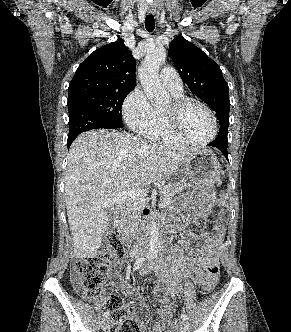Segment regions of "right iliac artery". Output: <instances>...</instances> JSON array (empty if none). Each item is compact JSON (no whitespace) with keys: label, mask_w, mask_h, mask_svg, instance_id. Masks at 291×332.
<instances>
[{"label":"right iliac artery","mask_w":291,"mask_h":332,"mask_svg":"<svg viewBox=\"0 0 291 332\" xmlns=\"http://www.w3.org/2000/svg\"><path fill=\"white\" fill-rule=\"evenodd\" d=\"M148 258H149V257H148ZM143 262H144V257H139V258L136 260L135 264H134V270H138V269L142 266ZM103 316H104V317H108V316H109V312L106 311V312L103 314Z\"/></svg>","instance_id":"1"}]
</instances>
